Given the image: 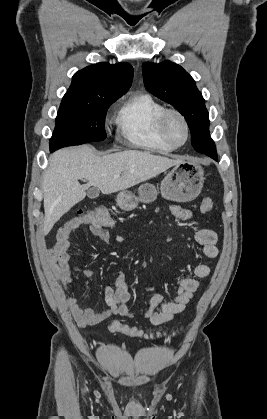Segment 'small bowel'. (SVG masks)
Segmentation results:
<instances>
[{"mask_svg": "<svg viewBox=\"0 0 267 419\" xmlns=\"http://www.w3.org/2000/svg\"><path fill=\"white\" fill-rule=\"evenodd\" d=\"M171 212L176 218L181 220L192 218V211L179 205H173ZM83 226H88L90 232L102 241L108 242L111 238L110 232L91 214L73 217L59 228L56 235V243L48 250L47 256L55 278L66 288L74 284V272H79L88 279L93 277L91 270L73 268L70 265L69 251L71 242L69 241V236L76 229ZM217 239L216 232L210 228L200 229L194 235V240L201 247L202 254L207 258L217 257ZM210 273L211 268L208 265L203 263L196 264L191 270V276L178 279L174 299L171 302H165L160 293H155L146 306L142 318L148 319L154 325L170 321L185 310L187 304L199 289L200 280L208 277ZM104 295L107 308L103 311L83 308L78 304L74 296L67 297L66 304L78 326L97 325L113 315H120L126 318L133 317V313L127 305L130 293L128 292L124 271L119 270L115 272L114 284L105 288Z\"/></svg>", "mask_w": 267, "mask_h": 419, "instance_id": "small-bowel-1", "label": "small bowel"}]
</instances>
